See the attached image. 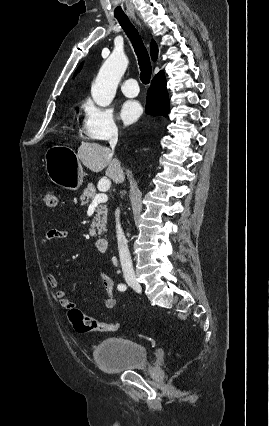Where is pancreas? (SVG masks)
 Instances as JSON below:
<instances>
[{"label":"pancreas","instance_id":"obj_1","mask_svg":"<svg viewBox=\"0 0 269 426\" xmlns=\"http://www.w3.org/2000/svg\"><path fill=\"white\" fill-rule=\"evenodd\" d=\"M95 196H96V188L91 183V184H88L87 187L84 189L80 199L82 204L85 205V204H88L89 202H92ZM106 222H107V206L99 205L96 209V216L94 217L91 224L90 235L95 237L96 229L98 230L99 235L103 231H106Z\"/></svg>","mask_w":269,"mask_h":426}]
</instances>
